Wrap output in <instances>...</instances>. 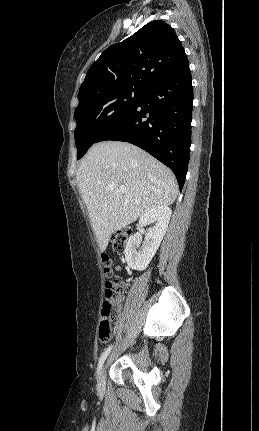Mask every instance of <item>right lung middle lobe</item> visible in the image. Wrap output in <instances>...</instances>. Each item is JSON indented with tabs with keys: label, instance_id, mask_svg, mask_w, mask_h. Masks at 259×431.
Masks as SVG:
<instances>
[{
	"label": "right lung middle lobe",
	"instance_id": "dd1d6c3e",
	"mask_svg": "<svg viewBox=\"0 0 259 431\" xmlns=\"http://www.w3.org/2000/svg\"><path fill=\"white\" fill-rule=\"evenodd\" d=\"M146 89L124 87L90 96L75 110L77 159L97 142L109 128L126 115Z\"/></svg>",
	"mask_w": 259,
	"mask_h": 431
}]
</instances>
